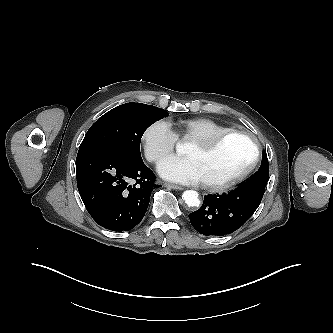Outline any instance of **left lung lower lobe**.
Here are the masks:
<instances>
[{
	"mask_svg": "<svg viewBox=\"0 0 333 333\" xmlns=\"http://www.w3.org/2000/svg\"><path fill=\"white\" fill-rule=\"evenodd\" d=\"M265 189L238 186L227 194L204 196L201 208L191 214L192 226L205 236H222L239 229L258 208Z\"/></svg>",
	"mask_w": 333,
	"mask_h": 333,
	"instance_id": "1",
	"label": "left lung lower lobe"
}]
</instances>
